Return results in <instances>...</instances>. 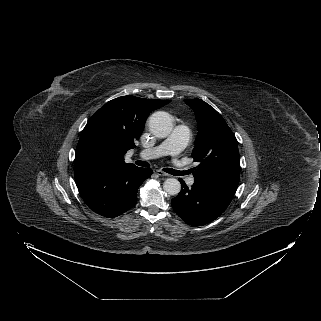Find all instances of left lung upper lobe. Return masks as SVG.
I'll list each match as a JSON object with an SVG mask.
<instances>
[{"label": "left lung upper lobe", "instance_id": "5c2ea615", "mask_svg": "<svg viewBox=\"0 0 321 321\" xmlns=\"http://www.w3.org/2000/svg\"><path fill=\"white\" fill-rule=\"evenodd\" d=\"M198 122V135L192 157L200 164L194 178L211 176L239 177L238 143L223 117L200 99H185Z\"/></svg>", "mask_w": 321, "mask_h": 321}]
</instances>
